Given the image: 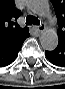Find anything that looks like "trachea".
Here are the masks:
<instances>
[{
  "mask_svg": "<svg viewBox=\"0 0 65 89\" xmlns=\"http://www.w3.org/2000/svg\"><path fill=\"white\" fill-rule=\"evenodd\" d=\"M26 25H40V21L37 17L28 15L26 17Z\"/></svg>",
  "mask_w": 65,
  "mask_h": 89,
  "instance_id": "obj_1",
  "label": "trachea"
}]
</instances>
